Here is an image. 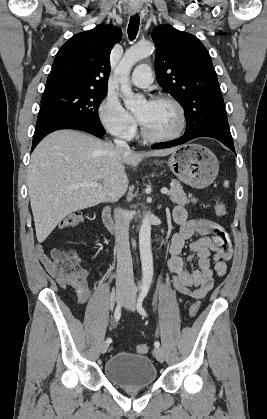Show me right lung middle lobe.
Masks as SVG:
<instances>
[{
	"instance_id": "1",
	"label": "right lung middle lobe",
	"mask_w": 267,
	"mask_h": 419,
	"mask_svg": "<svg viewBox=\"0 0 267 419\" xmlns=\"http://www.w3.org/2000/svg\"><path fill=\"white\" fill-rule=\"evenodd\" d=\"M107 90L64 89L44 92L41 106L58 109L84 122L101 124L98 108Z\"/></svg>"
}]
</instances>
